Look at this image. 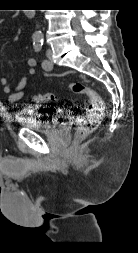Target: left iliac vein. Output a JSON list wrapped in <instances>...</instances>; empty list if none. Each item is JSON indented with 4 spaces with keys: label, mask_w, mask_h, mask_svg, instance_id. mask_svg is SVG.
<instances>
[{
    "label": "left iliac vein",
    "mask_w": 138,
    "mask_h": 253,
    "mask_svg": "<svg viewBox=\"0 0 138 253\" xmlns=\"http://www.w3.org/2000/svg\"><path fill=\"white\" fill-rule=\"evenodd\" d=\"M46 56H47V58L49 60V64H50L48 70H51L53 68V63H52V51L50 49H47Z\"/></svg>",
    "instance_id": "left-iliac-vein-1"
}]
</instances>
